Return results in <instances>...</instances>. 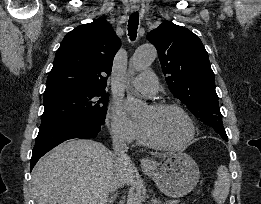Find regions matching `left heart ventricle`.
Masks as SVG:
<instances>
[{
	"label": "left heart ventricle",
	"instance_id": "b2bd125f",
	"mask_svg": "<svg viewBox=\"0 0 261 204\" xmlns=\"http://www.w3.org/2000/svg\"><path fill=\"white\" fill-rule=\"evenodd\" d=\"M164 143L177 145L186 140L189 126L183 115L173 109L156 113L150 107L140 119Z\"/></svg>",
	"mask_w": 261,
	"mask_h": 204
}]
</instances>
